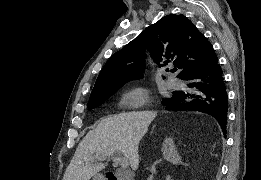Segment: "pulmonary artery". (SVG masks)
<instances>
[{
	"instance_id": "obj_1",
	"label": "pulmonary artery",
	"mask_w": 261,
	"mask_h": 180,
	"mask_svg": "<svg viewBox=\"0 0 261 180\" xmlns=\"http://www.w3.org/2000/svg\"><path fill=\"white\" fill-rule=\"evenodd\" d=\"M167 84L169 87H177L180 85V81L176 79H170Z\"/></svg>"
}]
</instances>
